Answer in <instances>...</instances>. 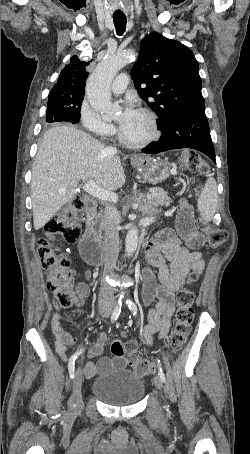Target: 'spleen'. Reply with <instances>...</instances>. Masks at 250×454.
<instances>
[{
  "instance_id": "1",
  "label": "spleen",
  "mask_w": 250,
  "mask_h": 454,
  "mask_svg": "<svg viewBox=\"0 0 250 454\" xmlns=\"http://www.w3.org/2000/svg\"><path fill=\"white\" fill-rule=\"evenodd\" d=\"M218 203L217 184L213 178L207 179L198 198V209L201 220L209 222L216 213Z\"/></svg>"
}]
</instances>
